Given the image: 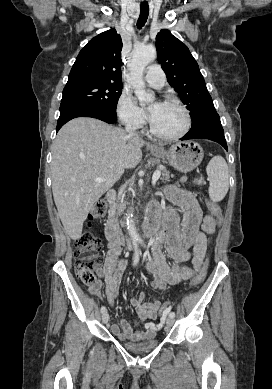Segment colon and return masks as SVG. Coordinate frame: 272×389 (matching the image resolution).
Wrapping results in <instances>:
<instances>
[{
	"mask_svg": "<svg viewBox=\"0 0 272 389\" xmlns=\"http://www.w3.org/2000/svg\"><path fill=\"white\" fill-rule=\"evenodd\" d=\"M209 209L216 221L221 217L220 207L212 202H209ZM107 210L105 200H98L89 213L88 220L93 221L102 218ZM102 243L100 239L90 232L83 233L75 241V270L80 280L88 285L93 286L97 282L96 268L102 262ZM207 273V265L204 264L199 273L193 278L190 283L191 288L198 287L205 279ZM171 309V303L165 302L160 308L162 314H167Z\"/></svg>",
	"mask_w": 272,
	"mask_h": 389,
	"instance_id": "5ec220e1",
	"label": "colon"
}]
</instances>
